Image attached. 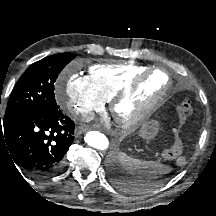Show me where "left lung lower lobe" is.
<instances>
[{"label": "left lung lower lobe", "mask_w": 216, "mask_h": 216, "mask_svg": "<svg viewBox=\"0 0 216 216\" xmlns=\"http://www.w3.org/2000/svg\"><path fill=\"white\" fill-rule=\"evenodd\" d=\"M113 178L118 186L129 191L139 190V184L119 169L118 164L113 165Z\"/></svg>", "instance_id": "obj_1"}]
</instances>
